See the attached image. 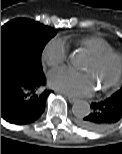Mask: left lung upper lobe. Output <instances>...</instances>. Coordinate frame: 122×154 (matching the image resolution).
Instances as JSON below:
<instances>
[{
	"label": "left lung upper lobe",
	"instance_id": "1",
	"mask_svg": "<svg viewBox=\"0 0 122 154\" xmlns=\"http://www.w3.org/2000/svg\"><path fill=\"white\" fill-rule=\"evenodd\" d=\"M112 96L117 98V99L122 100V87L116 93H114Z\"/></svg>",
	"mask_w": 122,
	"mask_h": 154
}]
</instances>
